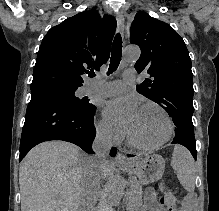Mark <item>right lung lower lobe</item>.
Returning <instances> with one entry per match:
<instances>
[{"label":"right lung lower lobe","instance_id":"obj_1","mask_svg":"<svg viewBox=\"0 0 219 211\" xmlns=\"http://www.w3.org/2000/svg\"><path fill=\"white\" fill-rule=\"evenodd\" d=\"M95 111L96 107L76 108L53 90H32L21 135L19 161L35 145L50 140L68 141L87 153H94ZM110 155H116V148Z\"/></svg>","mask_w":219,"mask_h":211}]
</instances>
